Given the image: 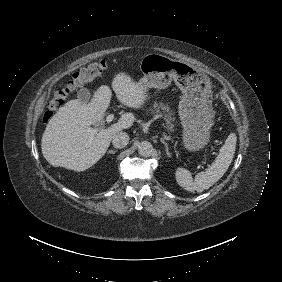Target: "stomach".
<instances>
[{"label":"stomach","mask_w":282,"mask_h":282,"mask_svg":"<svg viewBox=\"0 0 282 282\" xmlns=\"http://www.w3.org/2000/svg\"><path fill=\"white\" fill-rule=\"evenodd\" d=\"M139 68L143 76L134 85L142 94L151 89H166L172 80L181 89L179 113L185 144L189 149L204 146L214 119L209 99L210 78L184 61L156 52L144 55Z\"/></svg>","instance_id":"stomach-1"}]
</instances>
